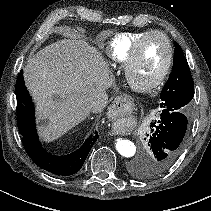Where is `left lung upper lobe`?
Here are the masks:
<instances>
[{"label":"left lung upper lobe","mask_w":211,"mask_h":211,"mask_svg":"<svg viewBox=\"0 0 211 211\" xmlns=\"http://www.w3.org/2000/svg\"><path fill=\"white\" fill-rule=\"evenodd\" d=\"M175 51L170 76L161 91L160 107L164 111H181L187 113L194 96V83L187 60L180 45L174 42ZM152 157L146 153V162L150 165L148 173L152 175Z\"/></svg>","instance_id":"left-lung-upper-lobe-1"}]
</instances>
